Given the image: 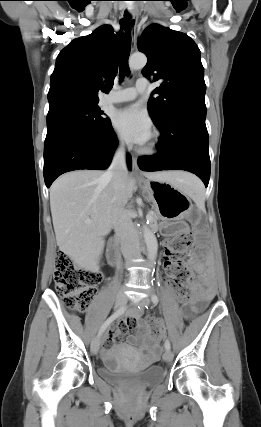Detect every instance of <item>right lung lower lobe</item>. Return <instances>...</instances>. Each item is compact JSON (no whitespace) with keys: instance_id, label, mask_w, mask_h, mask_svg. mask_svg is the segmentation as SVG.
I'll return each instance as SVG.
<instances>
[{"instance_id":"obj_1","label":"right lung lower lobe","mask_w":261,"mask_h":427,"mask_svg":"<svg viewBox=\"0 0 261 427\" xmlns=\"http://www.w3.org/2000/svg\"><path fill=\"white\" fill-rule=\"evenodd\" d=\"M117 138L112 126L88 130L74 125L47 129L44 144V180L49 188L61 174L78 169H106L112 160ZM129 169L131 157L127 156Z\"/></svg>"}]
</instances>
